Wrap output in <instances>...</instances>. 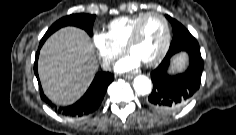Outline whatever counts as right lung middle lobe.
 I'll use <instances>...</instances> for the list:
<instances>
[{
	"label": "right lung middle lobe",
	"mask_w": 236,
	"mask_h": 135,
	"mask_svg": "<svg viewBox=\"0 0 236 135\" xmlns=\"http://www.w3.org/2000/svg\"><path fill=\"white\" fill-rule=\"evenodd\" d=\"M95 15L89 14H73L63 17L56 21L46 32L42 39H47L53 32L58 30L61 27L73 25L80 27L87 31V33L92 35V26L95 20Z\"/></svg>",
	"instance_id": "obj_1"
}]
</instances>
